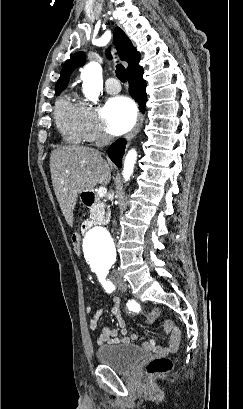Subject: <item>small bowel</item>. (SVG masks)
<instances>
[{"label":"small bowel","instance_id":"1","mask_svg":"<svg viewBox=\"0 0 243 409\" xmlns=\"http://www.w3.org/2000/svg\"><path fill=\"white\" fill-rule=\"evenodd\" d=\"M131 309L135 310L134 305L131 306ZM85 311L87 313H91L92 312L91 306H87L85 308ZM103 311H104L103 309H100L93 314L89 322V327L91 330H95L99 326ZM110 311L118 323V328H112L110 326L103 327L101 333L98 335V337L95 340L96 344L97 345L125 344V343H129L130 341H137L138 340L137 334H131L130 336L127 335L126 324L121 314L120 300L117 297L113 298L112 305L110 307ZM151 322H148V323H151ZM162 326L167 332L168 337H169L168 345L160 346L154 340H151V341L145 342L144 347L157 354L174 353L178 350L179 345H180V341H181L180 330L176 326H174V324L170 320L163 321ZM118 335H120V337H118Z\"/></svg>","mask_w":243,"mask_h":409}]
</instances>
